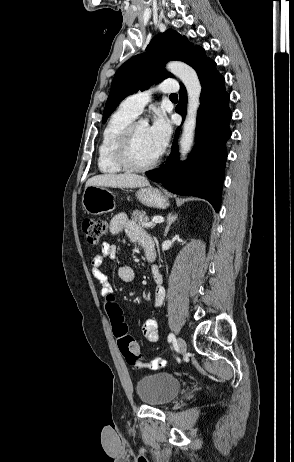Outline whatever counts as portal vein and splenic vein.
Wrapping results in <instances>:
<instances>
[{
  "label": "portal vein and splenic vein",
  "instance_id": "18ae733b",
  "mask_svg": "<svg viewBox=\"0 0 294 462\" xmlns=\"http://www.w3.org/2000/svg\"><path fill=\"white\" fill-rule=\"evenodd\" d=\"M164 222V218L163 217H154L151 222H149L148 225H151V224H155V223H162Z\"/></svg>",
  "mask_w": 294,
  "mask_h": 462
}]
</instances>
